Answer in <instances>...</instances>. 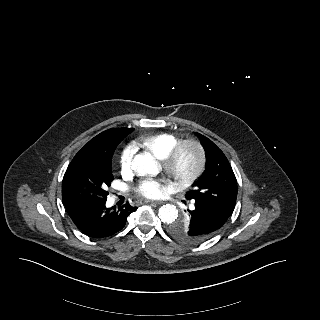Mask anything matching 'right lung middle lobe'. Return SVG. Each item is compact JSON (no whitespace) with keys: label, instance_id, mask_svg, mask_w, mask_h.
Instances as JSON below:
<instances>
[{"label":"right lung middle lobe","instance_id":"1","mask_svg":"<svg viewBox=\"0 0 320 320\" xmlns=\"http://www.w3.org/2000/svg\"><path fill=\"white\" fill-rule=\"evenodd\" d=\"M118 144H112L106 154L104 151L87 158L74 157L62 181L63 204L103 202L107 199L106 188L114 179L111 161Z\"/></svg>","mask_w":320,"mask_h":320}]
</instances>
